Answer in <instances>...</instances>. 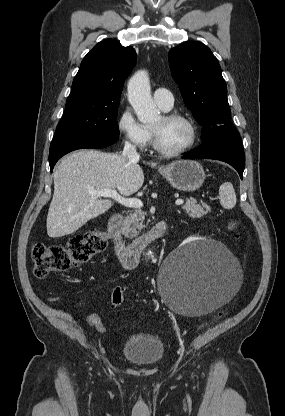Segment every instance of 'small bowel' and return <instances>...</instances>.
Returning <instances> with one entry per match:
<instances>
[{
  "mask_svg": "<svg viewBox=\"0 0 285 416\" xmlns=\"http://www.w3.org/2000/svg\"><path fill=\"white\" fill-rule=\"evenodd\" d=\"M85 322L88 326L96 328L100 333H104L106 331V326L98 314H91L87 316Z\"/></svg>",
  "mask_w": 285,
  "mask_h": 416,
  "instance_id": "c3829d8e",
  "label": "small bowel"
}]
</instances>
